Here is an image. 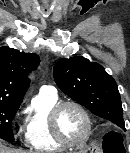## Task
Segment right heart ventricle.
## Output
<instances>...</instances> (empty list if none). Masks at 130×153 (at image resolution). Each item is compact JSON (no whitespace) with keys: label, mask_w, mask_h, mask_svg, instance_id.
<instances>
[{"label":"right heart ventricle","mask_w":130,"mask_h":153,"mask_svg":"<svg viewBox=\"0 0 130 153\" xmlns=\"http://www.w3.org/2000/svg\"><path fill=\"white\" fill-rule=\"evenodd\" d=\"M58 102L57 94L39 92L29 108L25 141L36 152H54L64 148L52 136L48 121L50 110Z\"/></svg>","instance_id":"right-heart-ventricle-1"}]
</instances>
